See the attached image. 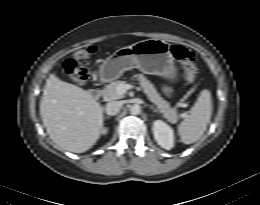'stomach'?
Masks as SVG:
<instances>
[{"mask_svg":"<svg viewBox=\"0 0 260 205\" xmlns=\"http://www.w3.org/2000/svg\"><path fill=\"white\" fill-rule=\"evenodd\" d=\"M132 68L169 81L177 79L170 44L162 39L151 38L116 50L100 66V79L103 82L116 80Z\"/></svg>","mask_w":260,"mask_h":205,"instance_id":"obj_1","label":"stomach"}]
</instances>
